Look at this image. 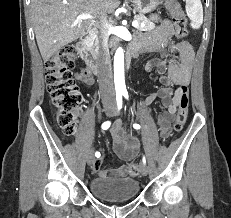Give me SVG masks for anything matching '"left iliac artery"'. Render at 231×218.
Wrapping results in <instances>:
<instances>
[{
    "label": "left iliac artery",
    "mask_w": 231,
    "mask_h": 218,
    "mask_svg": "<svg viewBox=\"0 0 231 218\" xmlns=\"http://www.w3.org/2000/svg\"><path fill=\"white\" fill-rule=\"evenodd\" d=\"M123 96L126 98V99H128V92L127 91H123ZM133 127L135 128V129H140V125L139 124H133ZM143 162L145 163V158H143Z\"/></svg>",
    "instance_id": "obj_1"
}]
</instances>
